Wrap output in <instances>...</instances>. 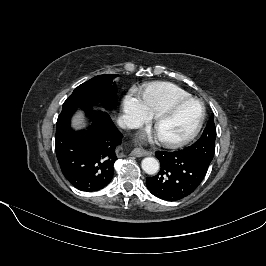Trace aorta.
<instances>
[{"label":"aorta","instance_id":"obj_1","mask_svg":"<svg viewBox=\"0 0 266 266\" xmlns=\"http://www.w3.org/2000/svg\"><path fill=\"white\" fill-rule=\"evenodd\" d=\"M142 169L149 175L156 174L159 171V162L153 157H146L141 163Z\"/></svg>","mask_w":266,"mask_h":266}]
</instances>
